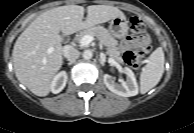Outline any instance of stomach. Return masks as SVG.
Listing matches in <instances>:
<instances>
[{
	"mask_svg": "<svg viewBox=\"0 0 194 133\" xmlns=\"http://www.w3.org/2000/svg\"><path fill=\"white\" fill-rule=\"evenodd\" d=\"M109 33L116 38H123L128 33L125 17H115L109 22Z\"/></svg>",
	"mask_w": 194,
	"mask_h": 133,
	"instance_id": "obj_1",
	"label": "stomach"
}]
</instances>
